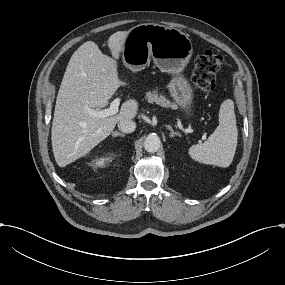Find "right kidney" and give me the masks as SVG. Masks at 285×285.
Masks as SVG:
<instances>
[{
  "instance_id": "obj_1",
  "label": "right kidney",
  "mask_w": 285,
  "mask_h": 285,
  "mask_svg": "<svg viewBox=\"0 0 285 285\" xmlns=\"http://www.w3.org/2000/svg\"><path fill=\"white\" fill-rule=\"evenodd\" d=\"M103 160H104V159H101L100 161H97L96 163H97V164H101Z\"/></svg>"
}]
</instances>
